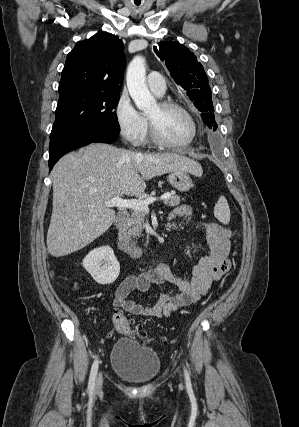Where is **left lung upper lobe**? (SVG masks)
Masks as SVG:
<instances>
[{"mask_svg": "<svg viewBox=\"0 0 299 427\" xmlns=\"http://www.w3.org/2000/svg\"><path fill=\"white\" fill-rule=\"evenodd\" d=\"M158 44V57L165 61L176 83L187 90L190 100L202 113L203 122L215 131L217 124L212 114L214 112L212 93L202 64L187 47L178 42L163 41Z\"/></svg>", "mask_w": 299, "mask_h": 427, "instance_id": "1", "label": "left lung upper lobe"}]
</instances>
